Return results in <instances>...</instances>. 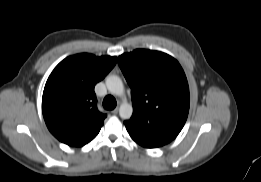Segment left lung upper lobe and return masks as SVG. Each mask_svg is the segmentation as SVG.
<instances>
[{
    "label": "left lung upper lobe",
    "instance_id": "5c2ea615",
    "mask_svg": "<svg viewBox=\"0 0 261 182\" xmlns=\"http://www.w3.org/2000/svg\"><path fill=\"white\" fill-rule=\"evenodd\" d=\"M118 64L131 87L133 115L124 122L130 136L171 142L183 128L190 105L180 64L166 53L145 49L120 55Z\"/></svg>",
    "mask_w": 261,
    "mask_h": 182
}]
</instances>
